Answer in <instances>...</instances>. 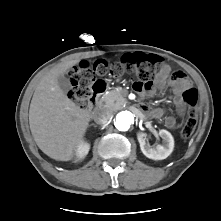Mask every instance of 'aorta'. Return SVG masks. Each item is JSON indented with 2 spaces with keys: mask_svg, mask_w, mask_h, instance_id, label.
<instances>
[{
  "mask_svg": "<svg viewBox=\"0 0 221 221\" xmlns=\"http://www.w3.org/2000/svg\"><path fill=\"white\" fill-rule=\"evenodd\" d=\"M134 121L135 115L131 111L124 110L117 114L114 125L120 131H127Z\"/></svg>",
  "mask_w": 221,
  "mask_h": 221,
  "instance_id": "aorta-1",
  "label": "aorta"
}]
</instances>
